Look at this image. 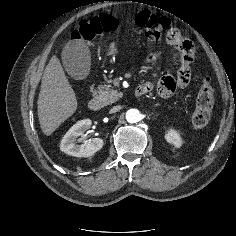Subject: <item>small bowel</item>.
Returning <instances> with one entry per match:
<instances>
[{
	"mask_svg": "<svg viewBox=\"0 0 236 236\" xmlns=\"http://www.w3.org/2000/svg\"><path fill=\"white\" fill-rule=\"evenodd\" d=\"M175 45V44H174ZM179 50V69L177 76L174 77L170 74L162 76L156 84L159 95L163 98L170 97L178 88L186 87L191 79V64L194 60V47L192 43L184 37V41L175 45ZM160 57V53H152L148 57L149 62H153ZM184 77H188V83L182 84ZM143 86L149 88V92L154 88V84L147 83Z\"/></svg>",
	"mask_w": 236,
	"mask_h": 236,
	"instance_id": "c3829d8e",
	"label": "small bowel"
}]
</instances>
